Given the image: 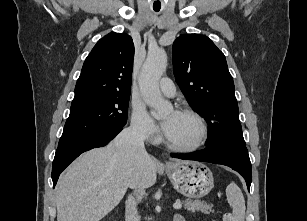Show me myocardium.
I'll list each match as a JSON object with an SVG mask.
<instances>
[{"label": "myocardium", "instance_id": "myocardium-1", "mask_svg": "<svg viewBox=\"0 0 307 221\" xmlns=\"http://www.w3.org/2000/svg\"><path fill=\"white\" fill-rule=\"evenodd\" d=\"M178 112L182 113V114L189 115L197 121L199 128H200L199 137L195 142H193L189 145H176V144L171 143L167 139V137L165 136L164 143L170 150L175 151V152H181V153L193 152V151L199 149L200 147H202L205 144V142L207 141V138H208L207 122H206L205 118L199 112H197L194 109L181 108V109L178 110Z\"/></svg>", "mask_w": 307, "mask_h": 221}]
</instances>
